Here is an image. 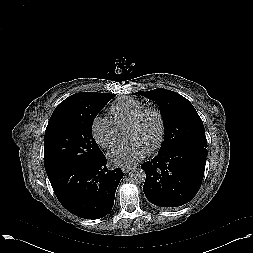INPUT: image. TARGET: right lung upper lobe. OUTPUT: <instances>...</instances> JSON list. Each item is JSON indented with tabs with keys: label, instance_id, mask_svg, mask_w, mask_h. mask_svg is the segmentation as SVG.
<instances>
[{
	"label": "right lung upper lobe",
	"instance_id": "1",
	"mask_svg": "<svg viewBox=\"0 0 253 253\" xmlns=\"http://www.w3.org/2000/svg\"><path fill=\"white\" fill-rule=\"evenodd\" d=\"M101 93H91V92H81L76 93L68 98H66L64 101H62L56 109L65 108V107H71V106H79L86 104L91 98L100 95Z\"/></svg>",
	"mask_w": 253,
	"mask_h": 253
}]
</instances>
